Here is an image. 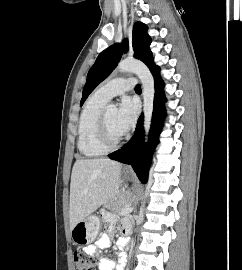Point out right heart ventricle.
I'll return each instance as SVG.
<instances>
[{
    "label": "right heart ventricle",
    "mask_w": 242,
    "mask_h": 270,
    "mask_svg": "<svg viewBox=\"0 0 242 270\" xmlns=\"http://www.w3.org/2000/svg\"><path fill=\"white\" fill-rule=\"evenodd\" d=\"M106 101L94 94L85 104L78 125L77 147L85 157H97L107 151L100 145L97 137L98 122Z\"/></svg>",
    "instance_id": "1"
}]
</instances>
